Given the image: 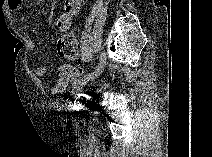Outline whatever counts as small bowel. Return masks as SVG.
<instances>
[{"label": "small bowel", "mask_w": 212, "mask_h": 157, "mask_svg": "<svg viewBox=\"0 0 212 157\" xmlns=\"http://www.w3.org/2000/svg\"><path fill=\"white\" fill-rule=\"evenodd\" d=\"M8 7L12 10H20L24 3L22 0H8ZM81 8L80 0H66L64 4V11L57 19V29L60 32H65L70 29L72 25V20L74 16L78 14ZM36 47V43L30 40L28 43V48L33 50ZM48 72V67L46 64H41L37 66L34 71V75L37 78H43ZM77 69L71 64H63L60 66L58 71V80L53 88V92H62L67 89L68 84L71 80L76 77Z\"/></svg>", "instance_id": "c3829d8e"}]
</instances>
